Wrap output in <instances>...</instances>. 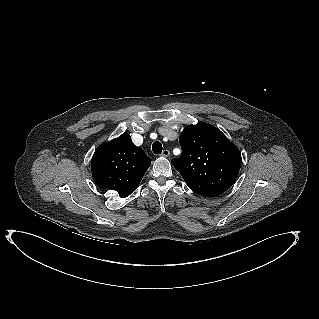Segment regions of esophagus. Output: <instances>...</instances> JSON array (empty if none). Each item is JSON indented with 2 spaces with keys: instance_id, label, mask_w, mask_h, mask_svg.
Wrapping results in <instances>:
<instances>
[{
  "instance_id": "obj_1",
  "label": "esophagus",
  "mask_w": 319,
  "mask_h": 319,
  "mask_svg": "<svg viewBox=\"0 0 319 319\" xmlns=\"http://www.w3.org/2000/svg\"><path fill=\"white\" fill-rule=\"evenodd\" d=\"M169 155H170V151L169 150H167V149L163 150L162 156L168 157Z\"/></svg>"
}]
</instances>
